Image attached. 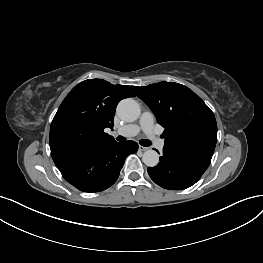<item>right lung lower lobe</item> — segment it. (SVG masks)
<instances>
[{"mask_svg":"<svg viewBox=\"0 0 263 263\" xmlns=\"http://www.w3.org/2000/svg\"><path fill=\"white\" fill-rule=\"evenodd\" d=\"M138 150L134 141L111 142L55 162L67 182L83 192L109 188L119 177L126 157Z\"/></svg>","mask_w":263,"mask_h":263,"instance_id":"obj_1","label":"right lung lower lobe"}]
</instances>
